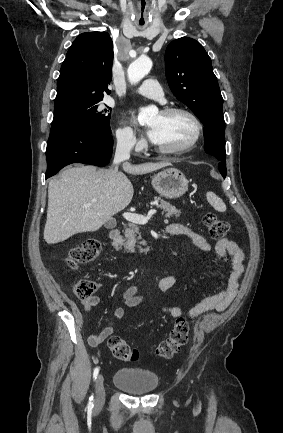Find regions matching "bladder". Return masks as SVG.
<instances>
[{
	"label": "bladder",
	"mask_w": 283,
	"mask_h": 433,
	"mask_svg": "<svg viewBox=\"0 0 283 433\" xmlns=\"http://www.w3.org/2000/svg\"><path fill=\"white\" fill-rule=\"evenodd\" d=\"M113 381L126 392L149 393L157 387L158 375L153 370L139 367H120Z\"/></svg>",
	"instance_id": "1"
}]
</instances>
